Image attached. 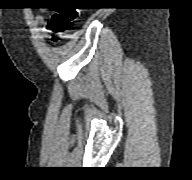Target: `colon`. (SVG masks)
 Instances as JSON below:
<instances>
[{
  "instance_id": "colon-1",
  "label": "colon",
  "mask_w": 192,
  "mask_h": 180,
  "mask_svg": "<svg viewBox=\"0 0 192 180\" xmlns=\"http://www.w3.org/2000/svg\"><path fill=\"white\" fill-rule=\"evenodd\" d=\"M78 16L76 9H59L51 19V27L53 28L56 38L69 30ZM57 39H55L56 41Z\"/></svg>"
}]
</instances>
